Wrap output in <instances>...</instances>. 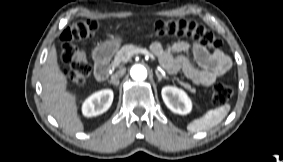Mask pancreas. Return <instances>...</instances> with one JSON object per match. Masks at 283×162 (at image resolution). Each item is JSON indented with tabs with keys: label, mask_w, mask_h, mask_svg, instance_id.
I'll list each match as a JSON object with an SVG mask.
<instances>
[{
	"label": "pancreas",
	"mask_w": 283,
	"mask_h": 162,
	"mask_svg": "<svg viewBox=\"0 0 283 162\" xmlns=\"http://www.w3.org/2000/svg\"><path fill=\"white\" fill-rule=\"evenodd\" d=\"M146 50L145 48H140L132 44L124 45L115 55L113 65H119L120 63H125L128 60L130 54H135L137 51ZM179 84L185 89L189 90L191 93H195L196 89L192 88L190 84L185 83L177 79Z\"/></svg>",
	"instance_id": "cf45deb5"
}]
</instances>
